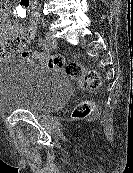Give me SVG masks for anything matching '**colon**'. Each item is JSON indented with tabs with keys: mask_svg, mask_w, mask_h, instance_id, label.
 Segmentation results:
<instances>
[{
	"mask_svg": "<svg viewBox=\"0 0 133 173\" xmlns=\"http://www.w3.org/2000/svg\"><path fill=\"white\" fill-rule=\"evenodd\" d=\"M22 46L20 39H11L5 43L0 54L7 55L18 51ZM23 56L43 62L50 68H64L66 74L74 80L82 90H95L101 85V78L96 70L87 69L83 64L78 62L65 63L64 59L59 55H44L37 52H24ZM94 104L90 101H84L79 104L74 112L77 118H84L91 114Z\"/></svg>",
	"mask_w": 133,
	"mask_h": 173,
	"instance_id": "5ec220e1",
	"label": "colon"
}]
</instances>
